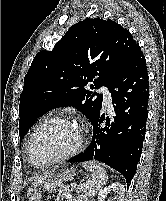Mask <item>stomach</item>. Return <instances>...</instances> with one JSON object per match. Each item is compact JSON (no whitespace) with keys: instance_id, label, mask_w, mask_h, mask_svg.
Instances as JSON below:
<instances>
[{"instance_id":"0dacf381","label":"stomach","mask_w":166,"mask_h":201,"mask_svg":"<svg viewBox=\"0 0 166 201\" xmlns=\"http://www.w3.org/2000/svg\"><path fill=\"white\" fill-rule=\"evenodd\" d=\"M76 173L75 170L70 169L62 173L52 175L48 178L43 186V191L48 193L57 192L62 189L64 182L71 181L74 179ZM39 195H37L34 201H40Z\"/></svg>"}]
</instances>
